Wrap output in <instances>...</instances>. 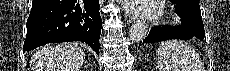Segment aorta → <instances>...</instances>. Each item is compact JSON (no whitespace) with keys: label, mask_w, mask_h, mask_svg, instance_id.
Wrapping results in <instances>:
<instances>
[{"label":"aorta","mask_w":230,"mask_h":71,"mask_svg":"<svg viewBox=\"0 0 230 71\" xmlns=\"http://www.w3.org/2000/svg\"><path fill=\"white\" fill-rule=\"evenodd\" d=\"M148 33V28L145 22L143 21H137L134 24H132L130 31H129V37L132 42H141Z\"/></svg>","instance_id":"obj_1"}]
</instances>
